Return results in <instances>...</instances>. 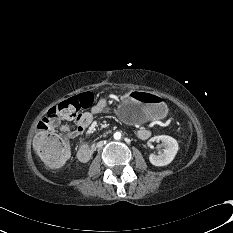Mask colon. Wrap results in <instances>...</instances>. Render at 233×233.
Returning <instances> with one entry per match:
<instances>
[{
	"instance_id": "5ec220e1",
	"label": "colon",
	"mask_w": 233,
	"mask_h": 233,
	"mask_svg": "<svg viewBox=\"0 0 233 233\" xmlns=\"http://www.w3.org/2000/svg\"><path fill=\"white\" fill-rule=\"evenodd\" d=\"M94 102L92 92L86 91L68 98L50 114L61 117H76L81 111L89 108ZM34 148L43 164L52 170L59 169L70 158L71 145L63 134H54L43 119L38 124V131L34 141Z\"/></svg>"
}]
</instances>
